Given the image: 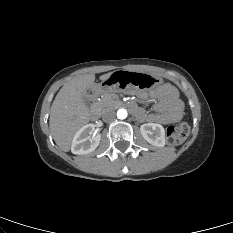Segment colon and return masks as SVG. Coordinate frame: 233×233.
<instances>
[{
  "label": "colon",
  "mask_w": 233,
  "mask_h": 233,
  "mask_svg": "<svg viewBox=\"0 0 233 233\" xmlns=\"http://www.w3.org/2000/svg\"><path fill=\"white\" fill-rule=\"evenodd\" d=\"M190 127L188 123L182 121L176 125H171L167 128L166 139L171 145L181 144L189 135Z\"/></svg>",
  "instance_id": "1"
}]
</instances>
